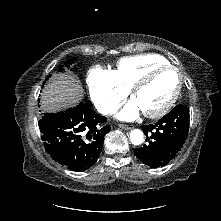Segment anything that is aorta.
Segmentation results:
<instances>
[{
    "instance_id": "obj_1",
    "label": "aorta",
    "mask_w": 221,
    "mask_h": 221,
    "mask_svg": "<svg viewBox=\"0 0 221 221\" xmlns=\"http://www.w3.org/2000/svg\"><path fill=\"white\" fill-rule=\"evenodd\" d=\"M130 140L134 145H140L144 141L143 132L139 129H134L130 132Z\"/></svg>"
}]
</instances>
